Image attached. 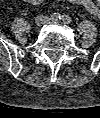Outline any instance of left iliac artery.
<instances>
[{
    "label": "left iliac artery",
    "instance_id": "left-iliac-artery-1",
    "mask_svg": "<svg viewBox=\"0 0 100 118\" xmlns=\"http://www.w3.org/2000/svg\"><path fill=\"white\" fill-rule=\"evenodd\" d=\"M61 19L64 24H69L72 22V18L69 15H63Z\"/></svg>",
    "mask_w": 100,
    "mask_h": 118
}]
</instances>
